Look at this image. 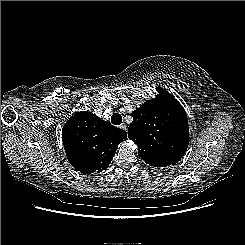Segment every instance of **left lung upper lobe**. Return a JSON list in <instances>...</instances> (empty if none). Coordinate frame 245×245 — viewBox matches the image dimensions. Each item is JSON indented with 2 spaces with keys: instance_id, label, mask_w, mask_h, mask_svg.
I'll use <instances>...</instances> for the list:
<instances>
[{
  "instance_id": "5c2ea615",
  "label": "left lung upper lobe",
  "mask_w": 245,
  "mask_h": 245,
  "mask_svg": "<svg viewBox=\"0 0 245 245\" xmlns=\"http://www.w3.org/2000/svg\"><path fill=\"white\" fill-rule=\"evenodd\" d=\"M156 98L131 115L128 137L138 145V155L149 165L166 167L178 162L189 144V125L182 105L158 87Z\"/></svg>"
}]
</instances>
